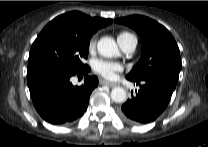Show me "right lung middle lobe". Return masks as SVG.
<instances>
[{
    "label": "right lung middle lobe",
    "instance_id": "obj_1",
    "mask_svg": "<svg viewBox=\"0 0 208 147\" xmlns=\"http://www.w3.org/2000/svg\"><path fill=\"white\" fill-rule=\"evenodd\" d=\"M91 36L81 32L55 28L42 31L32 44L28 71L43 68H63L77 71L87 67L82 60L88 57Z\"/></svg>",
    "mask_w": 208,
    "mask_h": 147
}]
</instances>
